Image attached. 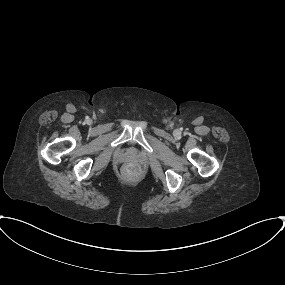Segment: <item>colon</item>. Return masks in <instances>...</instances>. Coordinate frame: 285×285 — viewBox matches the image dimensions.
I'll list each match as a JSON object with an SVG mask.
<instances>
[{"mask_svg":"<svg viewBox=\"0 0 285 285\" xmlns=\"http://www.w3.org/2000/svg\"><path fill=\"white\" fill-rule=\"evenodd\" d=\"M125 171H127V172H133L134 170H135V167L134 166H132V165H127V166H125Z\"/></svg>","mask_w":285,"mask_h":285,"instance_id":"obj_1","label":"colon"}]
</instances>
